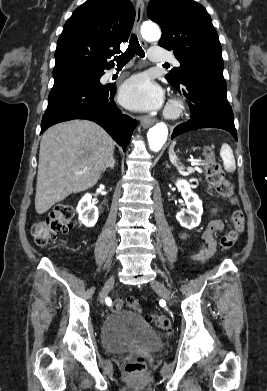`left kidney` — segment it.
<instances>
[{"mask_svg": "<svg viewBox=\"0 0 267 391\" xmlns=\"http://www.w3.org/2000/svg\"><path fill=\"white\" fill-rule=\"evenodd\" d=\"M176 186L181 191V195L187 206V210L178 212L176 218L181 226L187 229H193L201 222V215L203 213L202 201L197 194L192 192L190 184L186 180H178ZM186 213L189 216H186Z\"/></svg>", "mask_w": 267, "mask_h": 391, "instance_id": "1", "label": "left kidney"}]
</instances>
